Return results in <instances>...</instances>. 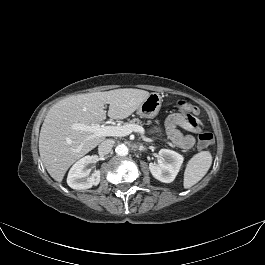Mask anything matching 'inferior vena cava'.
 <instances>
[{"label": "inferior vena cava", "instance_id": "obj_1", "mask_svg": "<svg viewBox=\"0 0 265 265\" xmlns=\"http://www.w3.org/2000/svg\"><path fill=\"white\" fill-rule=\"evenodd\" d=\"M115 141L112 139H106L98 146V152L100 155H107L112 150Z\"/></svg>", "mask_w": 265, "mask_h": 265}]
</instances>
